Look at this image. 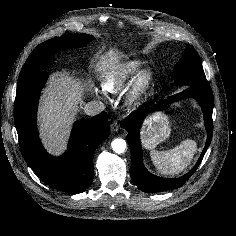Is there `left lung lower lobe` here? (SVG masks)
<instances>
[{
    "label": "left lung lower lobe",
    "mask_w": 236,
    "mask_h": 236,
    "mask_svg": "<svg viewBox=\"0 0 236 236\" xmlns=\"http://www.w3.org/2000/svg\"><path fill=\"white\" fill-rule=\"evenodd\" d=\"M187 97H193L199 102L204 113V123L208 137L202 154L193 169L180 178L168 179L157 177L149 173L143 165L139 129L148 112L152 110H161L163 108V102L141 110L140 112L131 113L124 121V127L128 132L127 140L132 155L130 174L133 182L144 192H160L181 187L196 171L211 143L213 134L212 112L214 100L209 83L188 86L184 91L169 97L168 102H176Z\"/></svg>",
    "instance_id": "obj_1"
}]
</instances>
